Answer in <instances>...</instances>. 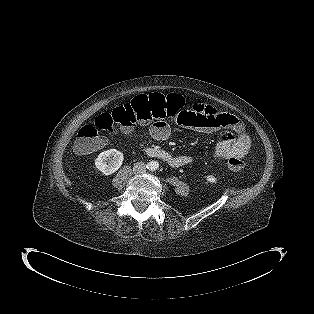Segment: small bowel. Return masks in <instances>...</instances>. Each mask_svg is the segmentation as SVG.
Returning a JSON list of instances; mask_svg holds the SVG:
<instances>
[{"mask_svg":"<svg viewBox=\"0 0 314 314\" xmlns=\"http://www.w3.org/2000/svg\"><path fill=\"white\" fill-rule=\"evenodd\" d=\"M172 123L177 128H189L203 133L225 130L219 137L213 158L227 161L231 158H246L251 149V138L241 121L234 115L221 112L211 105L195 104L185 109H177L172 114ZM171 129L165 121H158L150 127V135L156 140H165ZM105 144V141H104ZM189 155H178L171 164L182 167L190 164Z\"/></svg>","mask_w":314,"mask_h":314,"instance_id":"c3829d8e","label":"small bowel"}]
</instances>
